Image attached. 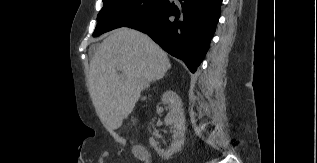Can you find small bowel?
I'll return each mask as SVG.
<instances>
[{"label": "small bowel", "mask_w": 317, "mask_h": 163, "mask_svg": "<svg viewBox=\"0 0 317 163\" xmlns=\"http://www.w3.org/2000/svg\"><path fill=\"white\" fill-rule=\"evenodd\" d=\"M135 154H136V156H137L139 159L144 160V161H146V159L148 158L147 152H146V151H145V152H142L138 147L135 148Z\"/></svg>", "instance_id": "small-bowel-1"}]
</instances>
